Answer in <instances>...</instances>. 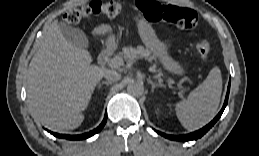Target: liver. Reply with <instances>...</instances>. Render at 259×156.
<instances>
[{"mask_svg":"<svg viewBox=\"0 0 259 156\" xmlns=\"http://www.w3.org/2000/svg\"><path fill=\"white\" fill-rule=\"evenodd\" d=\"M90 53L65 39L58 21L47 28L27 74V98L34 116L56 132L84 120L92 93L106 68L91 65Z\"/></svg>","mask_w":259,"mask_h":156,"instance_id":"liver-1","label":"liver"}]
</instances>
